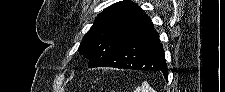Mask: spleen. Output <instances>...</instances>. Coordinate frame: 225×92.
<instances>
[{"mask_svg":"<svg viewBox=\"0 0 225 92\" xmlns=\"http://www.w3.org/2000/svg\"><path fill=\"white\" fill-rule=\"evenodd\" d=\"M135 92H155V91L147 82H143L140 87L136 88Z\"/></svg>","mask_w":225,"mask_h":92,"instance_id":"obj_1","label":"spleen"}]
</instances>
